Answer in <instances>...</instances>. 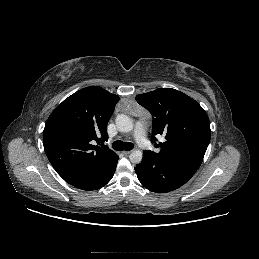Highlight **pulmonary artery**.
Here are the masks:
<instances>
[{
	"mask_svg": "<svg viewBox=\"0 0 259 259\" xmlns=\"http://www.w3.org/2000/svg\"><path fill=\"white\" fill-rule=\"evenodd\" d=\"M134 138L136 139L137 143L143 147L147 148L149 147V141L146 136V130L142 123L138 122L134 129Z\"/></svg>",
	"mask_w": 259,
	"mask_h": 259,
	"instance_id": "pulmonary-artery-1",
	"label": "pulmonary artery"
}]
</instances>
